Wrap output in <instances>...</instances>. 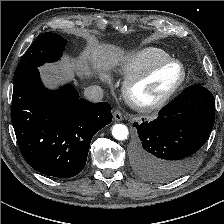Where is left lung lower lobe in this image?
Wrapping results in <instances>:
<instances>
[{"label": "left lung lower lobe", "instance_id": "1", "mask_svg": "<svg viewBox=\"0 0 224 224\" xmlns=\"http://www.w3.org/2000/svg\"><path fill=\"white\" fill-rule=\"evenodd\" d=\"M215 122V99L192 85L159 111L157 119L134 123L139 143L133 152L135 172L153 182H169L196 163Z\"/></svg>", "mask_w": 224, "mask_h": 224}]
</instances>
